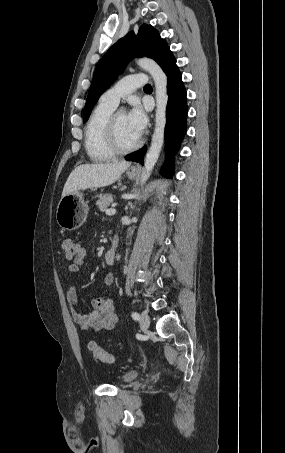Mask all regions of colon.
Instances as JSON below:
<instances>
[{"label":"colon","mask_w":285,"mask_h":453,"mask_svg":"<svg viewBox=\"0 0 285 453\" xmlns=\"http://www.w3.org/2000/svg\"><path fill=\"white\" fill-rule=\"evenodd\" d=\"M62 249L67 260H75L80 254V245L73 238H66L62 241ZM89 351L93 357L103 363L111 364L114 362V356L104 350L95 342H90L88 345Z\"/></svg>","instance_id":"colon-1"}]
</instances>
